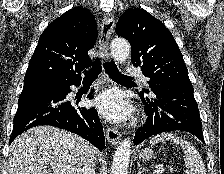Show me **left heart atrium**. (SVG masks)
I'll use <instances>...</instances> for the list:
<instances>
[{
	"label": "left heart atrium",
	"mask_w": 224,
	"mask_h": 174,
	"mask_svg": "<svg viewBox=\"0 0 224 174\" xmlns=\"http://www.w3.org/2000/svg\"><path fill=\"white\" fill-rule=\"evenodd\" d=\"M95 106L107 119L114 122H124L131 116L130 105L123 100L117 91H106L95 99Z\"/></svg>",
	"instance_id": "1"
}]
</instances>
